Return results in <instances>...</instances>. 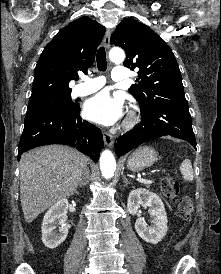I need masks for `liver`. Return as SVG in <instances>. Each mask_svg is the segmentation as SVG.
<instances>
[{
    "instance_id": "liver-1",
    "label": "liver",
    "mask_w": 221,
    "mask_h": 274,
    "mask_svg": "<svg viewBox=\"0 0 221 274\" xmlns=\"http://www.w3.org/2000/svg\"><path fill=\"white\" fill-rule=\"evenodd\" d=\"M88 162L70 147L49 145L30 150L20 160V200L27 223L44 210L71 196Z\"/></svg>"
}]
</instances>
